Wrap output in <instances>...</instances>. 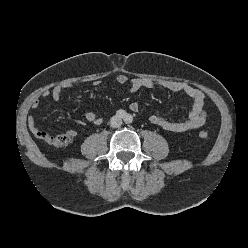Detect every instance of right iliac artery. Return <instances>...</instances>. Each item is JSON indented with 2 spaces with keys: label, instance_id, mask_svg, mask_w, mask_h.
Instances as JSON below:
<instances>
[{
  "label": "right iliac artery",
  "instance_id": "right-iliac-artery-1",
  "mask_svg": "<svg viewBox=\"0 0 248 248\" xmlns=\"http://www.w3.org/2000/svg\"><path fill=\"white\" fill-rule=\"evenodd\" d=\"M126 112L124 111V110H118L117 111V113H116V115H117V117H119V118H125L126 117Z\"/></svg>",
  "mask_w": 248,
  "mask_h": 248
}]
</instances>
